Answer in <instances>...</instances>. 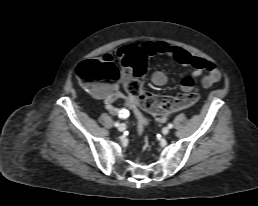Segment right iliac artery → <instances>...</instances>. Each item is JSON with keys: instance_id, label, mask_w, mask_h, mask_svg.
Wrapping results in <instances>:
<instances>
[{"instance_id": "obj_1", "label": "right iliac artery", "mask_w": 258, "mask_h": 206, "mask_svg": "<svg viewBox=\"0 0 258 206\" xmlns=\"http://www.w3.org/2000/svg\"><path fill=\"white\" fill-rule=\"evenodd\" d=\"M119 125H120L119 122H115V123H114V126H115V127H119Z\"/></svg>"}]
</instances>
